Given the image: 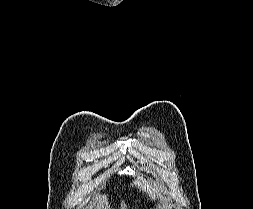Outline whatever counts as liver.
Segmentation results:
<instances>
[{
  "mask_svg": "<svg viewBox=\"0 0 253 209\" xmlns=\"http://www.w3.org/2000/svg\"><path fill=\"white\" fill-rule=\"evenodd\" d=\"M133 185L137 186L140 190L146 191L151 199H155L156 195L161 199L163 198L158 188L152 187V184L142 177H138L137 180L133 182ZM167 202L166 199H164Z\"/></svg>",
  "mask_w": 253,
  "mask_h": 209,
  "instance_id": "1",
  "label": "liver"
}]
</instances>
